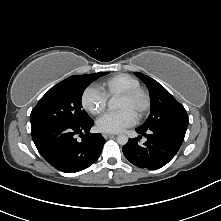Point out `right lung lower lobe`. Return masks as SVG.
Here are the masks:
<instances>
[{
	"instance_id": "obj_1",
	"label": "right lung lower lobe",
	"mask_w": 221,
	"mask_h": 221,
	"mask_svg": "<svg viewBox=\"0 0 221 221\" xmlns=\"http://www.w3.org/2000/svg\"><path fill=\"white\" fill-rule=\"evenodd\" d=\"M93 124L92 119L81 124L42 123L31 126V133L39 153L50 165L65 173H75L92 165L105 143L101 134L89 133ZM77 134L81 142L75 138Z\"/></svg>"
}]
</instances>
